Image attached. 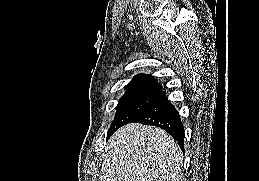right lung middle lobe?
I'll use <instances>...</instances> for the list:
<instances>
[{
	"mask_svg": "<svg viewBox=\"0 0 259 181\" xmlns=\"http://www.w3.org/2000/svg\"><path fill=\"white\" fill-rule=\"evenodd\" d=\"M125 89V94L118 102L115 119L108 130L107 137L134 120L158 95L161 86L141 85L125 87Z\"/></svg>",
	"mask_w": 259,
	"mask_h": 181,
	"instance_id": "dd1d6c3e",
	"label": "right lung middle lobe"
}]
</instances>
